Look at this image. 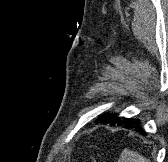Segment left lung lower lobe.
<instances>
[{
	"instance_id": "left-lung-lower-lobe-1",
	"label": "left lung lower lobe",
	"mask_w": 168,
	"mask_h": 162,
	"mask_svg": "<svg viewBox=\"0 0 168 162\" xmlns=\"http://www.w3.org/2000/svg\"><path fill=\"white\" fill-rule=\"evenodd\" d=\"M96 123L118 125L127 129H134L139 133L146 135V132L142 128V124L139 119L120 118L116 114L106 113L102 115L101 119L96 120Z\"/></svg>"
}]
</instances>
